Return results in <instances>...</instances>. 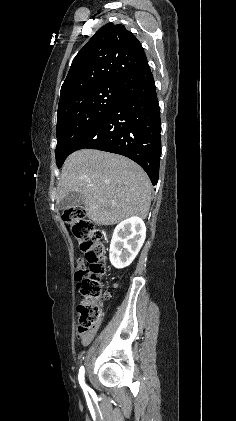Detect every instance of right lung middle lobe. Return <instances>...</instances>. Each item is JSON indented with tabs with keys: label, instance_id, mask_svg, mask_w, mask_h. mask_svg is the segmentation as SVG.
<instances>
[{
	"label": "right lung middle lobe",
	"instance_id": "1",
	"mask_svg": "<svg viewBox=\"0 0 236 421\" xmlns=\"http://www.w3.org/2000/svg\"><path fill=\"white\" fill-rule=\"evenodd\" d=\"M119 86L78 94L58 106L56 164L60 168L76 143L122 98Z\"/></svg>",
	"mask_w": 236,
	"mask_h": 421
}]
</instances>
